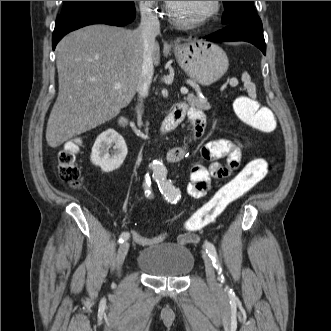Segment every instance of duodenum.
<instances>
[{"instance_id": "obj_1", "label": "duodenum", "mask_w": 331, "mask_h": 331, "mask_svg": "<svg viewBox=\"0 0 331 331\" xmlns=\"http://www.w3.org/2000/svg\"><path fill=\"white\" fill-rule=\"evenodd\" d=\"M183 118H184V112L182 111V109L178 106L175 107L165 119L161 127V133L162 134L170 133L182 121ZM118 122L120 124H124L126 122V119L124 117H120L118 119Z\"/></svg>"}]
</instances>
